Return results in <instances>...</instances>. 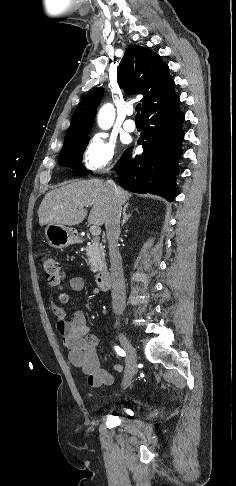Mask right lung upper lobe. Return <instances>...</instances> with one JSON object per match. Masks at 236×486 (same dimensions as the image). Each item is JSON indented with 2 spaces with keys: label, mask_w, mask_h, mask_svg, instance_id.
<instances>
[{
  "label": "right lung upper lobe",
  "mask_w": 236,
  "mask_h": 486,
  "mask_svg": "<svg viewBox=\"0 0 236 486\" xmlns=\"http://www.w3.org/2000/svg\"><path fill=\"white\" fill-rule=\"evenodd\" d=\"M117 80L126 93L143 95L142 110L174 93L175 83L169 77V67L158 54L138 45L126 50L117 68ZM103 92V88H95L84 96L73 114L64 144L88 135Z\"/></svg>",
  "instance_id": "right-lung-upper-lobe-1"
}]
</instances>
